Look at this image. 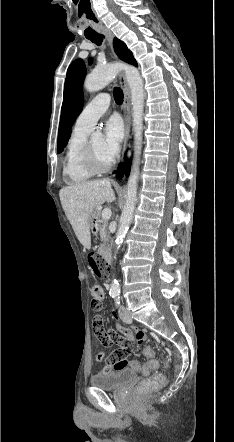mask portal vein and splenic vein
<instances>
[{
    "mask_svg": "<svg viewBox=\"0 0 234 442\" xmlns=\"http://www.w3.org/2000/svg\"><path fill=\"white\" fill-rule=\"evenodd\" d=\"M111 215H112V212H111V210L109 208H105L102 211V218L105 219V220L110 219Z\"/></svg>",
    "mask_w": 234,
    "mask_h": 442,
    "instance_id": "1",
    "label": "portal vein and splenic vein"
}]
</instances>
